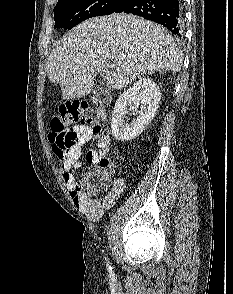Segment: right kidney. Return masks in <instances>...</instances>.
I'll use <instances>...</instances> for the list:
<instances>
[{"label":"right kidney","mask_w":233,"mask_h":294,"mask_svg":"<svg viewBox=\"0 0 233 294\" xmlns=\"http://www.w3.org/2000/svg\"><path fill=\"white\" fill-rule=\"evenodd\" d=\"M160 99L161 92L157 84L148 77L140 78L115 103L111 121L113 136L120 141H129L139 136L155 116ZM128 106L133 115H136L130 124L124 121Z\"/></svg>","instance_id":"right-kidney-1"}]
</instances>
